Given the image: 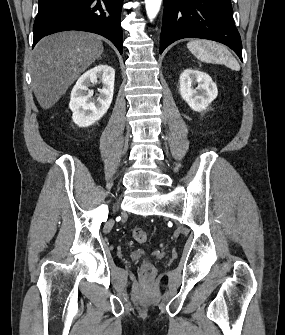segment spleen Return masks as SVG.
<instances>
[{
  "label": "spleen",
  "instance_id": "3e777b00",
  "mask_svg": "<svg viewBox=\"0 0 285 335\" xmlns=\"http://www.w3.org/2000/svg\"><path fill=\"white\" fill-rule=\"evenodd\" d=\"M187 48L201 62L225 64V66L232 68V70H240L237 60L233 58L227 48L216 44V42H210V40H192V42H188Z\"/></svg>",
  "mask_w": 285,
  "mask_h": 335
}]
</instances>
